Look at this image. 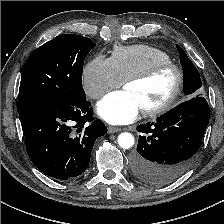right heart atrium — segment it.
<instances>
[{
	"instance_id": "obj_1",
	"label": "right heart atrium",
	"mask_w": 224,
	"mask_h": 224,
	"mask_svg": "<svg viewBox=\"0 0 224 224\" xmlns=\"http://www.w3.org/2000/svg\"><path fill=\"white\" fill-rule=\"evenodd\" d=\"M110 58L95 56L84 67L82 84L86 94L92 99L102 97L106 92L122 85Z\"/></svg>"
}]
</instances>
